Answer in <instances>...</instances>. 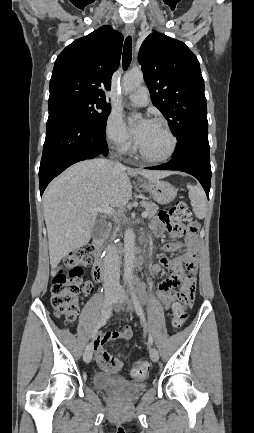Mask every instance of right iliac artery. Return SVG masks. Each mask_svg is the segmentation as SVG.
I'll return each instance as SVG.
<instances>
[{"instance_id":"obj_1","label":"right iliac artery","mask_w":254,"mask_h":433,"mask_svg":"<svg viewBox=\"0 0 254 433\" xmlns=\"http://www.w3.org/2000/svg\"><path fill=\"white\" fill-rule=\"evenodd\" d=\"M111 313H112V308L108 309L105 312V314L103 315V317L101 318V320L98 322L97 326L95 327L93 335H92V338L95 337L98 329H100L103 325H105L107 319L111 316Z\"/></svg>"}]
</instances>
